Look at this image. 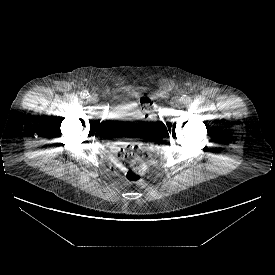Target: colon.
<instances>
[{"mask_svg": "<svg viewBox=\"0 0 275 275\" xmlns=\"http://www.w3.org/2000/svg\"><path fill=\"white\" fill-rule=\"evenodd\" d=\"M140 105L147 113H153L155 111V105L149 98H141ZM143 156V150L133 145L123 147L118 153L117 166H123L125 160L129 159L131 161V167L125 173V178L131 183L138 184L142 181L145 171Z\"/></svg>", "mask_w": 275, "mask_h": 275, "instance_id": "colon-1", "label": "colon"}]
</instances>
